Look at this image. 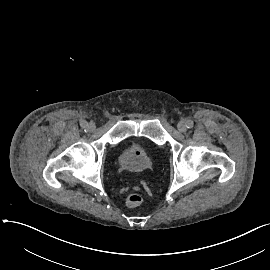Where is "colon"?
Instances as JSON below:
<instances>
[{
    "instance_id": "obj_1",
    "label": "colon",
    "mask_w": 270,
    "mask_h": 270,
    "mask_svg": "<svg viewBox=\"0 0 270 270\" xmlns=\"http://www.w3.org/2000/svg\"><path fill=\"white\" fill-rule=\"evenodd\" d=\"M143 202V196L139 192H130L126 196L127 206L136 207Z\"/></svg>"
}]
</instances>
